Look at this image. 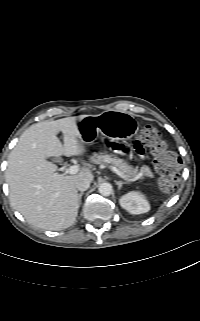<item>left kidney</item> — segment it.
Segmentation results:
<instances>
[{"label": "left kidney", "instance_id": "left-kidney-1", "mask_svg": "<svg viewBox=\"0 0 200 321\" xmlns=\"http://www.w3.org/2000/svg\"><path fill=\"white\" fill-rule=\"evenodd\" d=\"M119 203L122 208L131 214H142L150 210V205L145 197L139 192H129L123 195Z\"/></svg>", "mask_w": 200, "mask_h": 321}]
</instances>
